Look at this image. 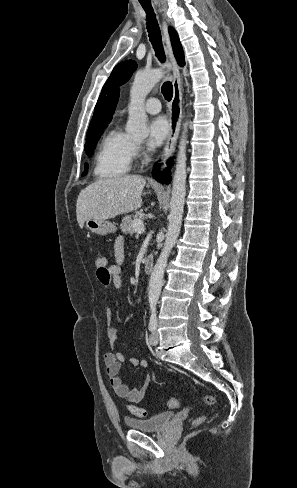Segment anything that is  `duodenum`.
I'll list each match as a JSON object with an SVG mask.
<instances>
[{
	"label": "duodenum",
	"instance_id": "duodenum-1",
	"mask_svg": "<svg viewBox=\"0 0 297 488\" xmlns=\"http://www.w3.org/2000/svg\"><path fill=\"white\" fill-rule=\"evenodd\" d=\"M153 257L149 255L146 257L145 262H144V270L145 272L149 273L153 269Z\"/></svg>",
	"mask_w": 297,
	"mask_h": 488
}]
</instances>
